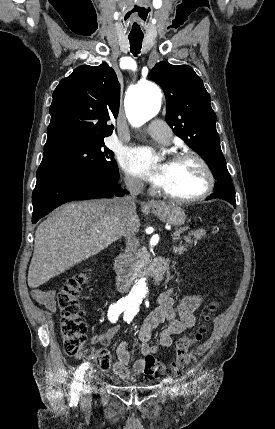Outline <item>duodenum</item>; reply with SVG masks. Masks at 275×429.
<instances>
[{"instance_id": "410a0bca", "label": "duodenum", "mask_w": 275, "mask_h": 429, "mask_svg": "<svg viewBox=\"0 0 275 429\" xmlns=\"http://www.w3.org/2000/svg\"><path fill=\"white\" fill-rule=\"evenodd\" d=\"M126 260V255L120 254L114 262L117 287L122 292L127 291L132 282L131 275L127 270ZM166 268L167 263L163 260H160L154 264L151 275V279L154 285L159 284L166 271Z\"/></svg>"}]
</instances>
